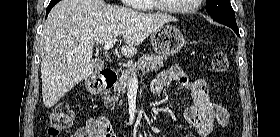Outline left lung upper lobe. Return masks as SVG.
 Segmentation results:
<instances>
[{
    "label": "left lung upper lobe",
    "instance_id": "1",
    "mask_svg": "<svg viewBox=\"0 0 280 137\" xmlns=\"http://www.w3.org/2000/svg\"><path fill=\"white\" fill-rule=\"evenodd\" d=\"M206 11L215 21L221 24L237 26L230 0H206Z\"/></svg>",
    "mask_w": 280,
    "mask_h": 137
}]
</instances>
